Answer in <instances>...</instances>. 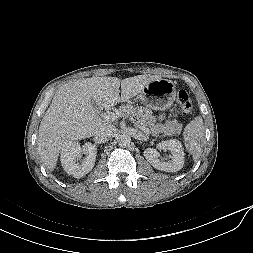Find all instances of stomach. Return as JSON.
Instances as JSON below:
<instances>
[{
    "instance_id": "0dacf381",
    "label": "stomach",
    "mask_w": 253,
    "mask_h": 253,
    "mask_svg": "<svg viewBox=\"0 0 253 253\" xmlns=\"http://www.w3.org/2000/svg\"><path fill=\"white\" fill-rule=\"evenodd\" d=\"M138 97L150 109H169L176 98L175 83L168 79H156L151 81Z\"/></svg>"
}]
</instances>
